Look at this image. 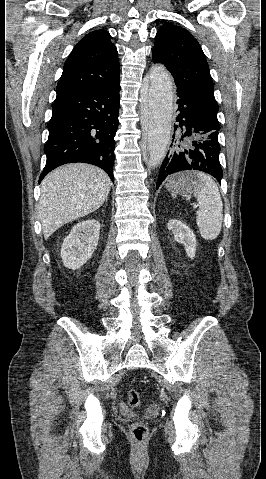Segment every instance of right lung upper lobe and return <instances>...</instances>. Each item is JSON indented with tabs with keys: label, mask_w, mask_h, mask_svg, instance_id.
<instances>
[{
	"label": "right lung upper lobe",
	"mask_w": 266,
	"mask_h": 479,
	"mask_svg": "<svg viewBox=\"0 0 266 479\" xmlns=\"http://www.w3.org/2000/svg\"><path fill=\"white\" fill-rule=\"evenodd\" d=\"M120 78L117 50L106 30H95L81 39L63 68L57 93L90 88Z\"/></svg>",
	"instance_id": "right-lung-upper-lobe-1"
}]
</instances>
